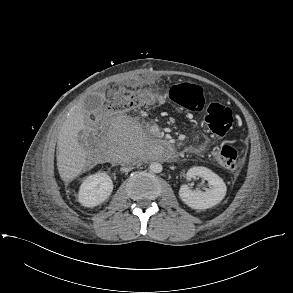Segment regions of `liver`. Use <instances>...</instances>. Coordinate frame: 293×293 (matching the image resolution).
I'll use <instances>...</instances> for the list:
<instances>
[{
	"label": "liver",
	"instance_id": "obj_1",
	"mask_svg": "<svg viewBox=\"0 0 293 293\" xmlns=\"http://www.w3.org/2000/svg\"><path fill=\"white\" fill-rule=\"evenodd\" d=\"M84 128V110L79 104L71 110L58 135L57 168L65 182L74 180L85 169L86 151L78 141V133Z\"/></svg>",
	"mask_w": 293,
	"mask_h": 293
}]
</instances>
